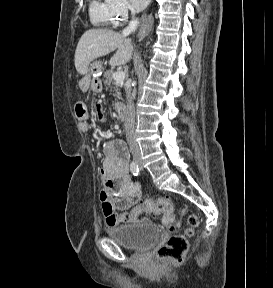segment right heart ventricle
<instances>
[{"mask_svg": "<svg viewBox=\"0 0 273 288\" xmlns=\"http://www.w3.org/2000/svg\"><path fill=\"white\" fill-rule=\"evenodd\" d=\"M90 18L95 25H116L106 0H92L90 3Z\"/></svg>", "mask_w": 273, "mask_h": 288, "instance_id": "obj_1", "label": "right heart ventricle"}]
</instances>
